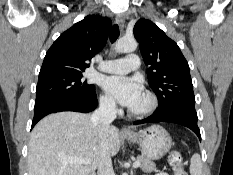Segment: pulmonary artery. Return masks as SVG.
<instances>
[{"label": "pulmonary artery", "instance_id": "pulmonary-artery-1", "mask_svg": "<svg viewBox=\"0 0 233 175\" xmlns=\"http://www.w3.org/2000/svg\"><path fill=\"white\" fill-rule=\"evenodd\" d=\"M140 59L137 54H129L124 59L106 60L101 63L100 69L108 73L124 74L138 69Z\"/></svg>", "mask_w": 233, "mask_h": 175}]
</instances>
